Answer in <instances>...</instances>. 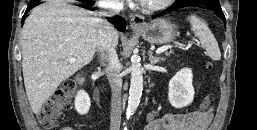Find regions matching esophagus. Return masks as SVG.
<instances>
[{
    "mask_svg": "<svg viewBox=\"0 0 257 130\" xmlns=\"http://www.w3.org/2000/svg\"><path fill=\"white\" fill-rule=\"evenodd\" d=\"M145 25V18L142 15H130V27L132 29H139Z\"/></svg>",
    "mask_w": 257,
    "mask_h": 130,
    "instance_id": "esophagus-1",
    "label": "esophagus"
}]
</instances>
